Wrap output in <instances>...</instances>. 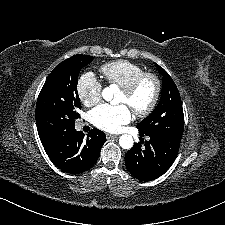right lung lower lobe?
Wrapping results in <instances>:
<instances>
[{
    "label": "right lung lower lobe",
    "instance_id": "obj_1",
    "mask_svg": "<svg viewBox=\"0 0 225 225\" xmlns=\"http://www.w3.org/2000/svg\"><path fill=\"white\" fill-rule=\"evenodd\" d=\"M105 142V133L96 128L89 132L87 138L74 128L42 145L55 166L67 173L79 174L96 163Z\"/></svg>",
    "mask_w": 225,
    "mask_h": 225
}]
</instances>
